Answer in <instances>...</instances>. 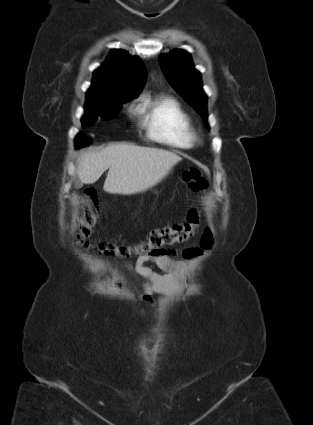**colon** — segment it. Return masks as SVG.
Wrapping results in <instances>:
<instances>
[{"instance_id":"colon-1","label":"colon","mask_w":313,"mask_h":425,"mask_svg":"<svg viewBox=\"0 0 313 425\" xmlns=\"http://www.w3.org/2000/svg\"><path fill=\"white\" fill-rule=\"evenodd\" d=\"M184 180L196 191L203 190L207 186L206 180L202 177L197 168L187 169L183 173ZM85 205L83 212L77 220V232L75 237L76 245L83 250H98L105 256L131 257L140 255H156L164 252L170 246L183 243L193 236L199 223V217L195 210H191L186 221L161 229H154L147 235L146 239L138 244L124 245L114 243H101L98 246L92 245L88 238L93 226L101 213L97 192L94 188H87L84 192ZM203 245H210L211 236L206 234L203 237ZM197 250L190 249L185 252L186 256H195Z\"/></svg>"}]
</instances>
